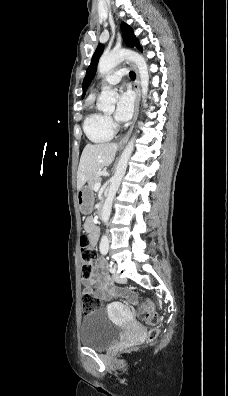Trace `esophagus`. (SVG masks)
Masks as SVG:
<instances>
[{
  "label": "esophagus",
  "mask_w": 228,
  "mask_h": 396,
  "mask_svg": "<svg viewBox=\"0 0 228 396\" xmlns=\"http://www.w3.org/2000/svg\"><path fill=\"white\" fill-rule=\"evenodd\" d=\"M126 64L128 66H131L134 69L135 73H136V80L134 82V89H135V92H136V103H135V111H134V117H133V120H132V123H131V127H130L129 131L127 132V134L120 140V142H119V146L120 147L124 146L127 143L128 139H129V137H130V135L132 133V130H133L134 125H135V122H136L137 117H138L139 102H140V77H139L138 69L133 63H130L129 61H126Z\"/></svg>",
  "instance_id": "1"
}]
</instances>
